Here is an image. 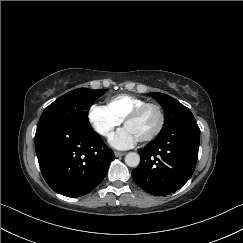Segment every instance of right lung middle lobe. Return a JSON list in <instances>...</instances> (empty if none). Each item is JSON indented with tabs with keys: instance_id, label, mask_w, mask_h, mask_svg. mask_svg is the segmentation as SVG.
I'll return each mask as SVG.
<instances>
[{
	"instance_id": "1",
	"label": "right lung middle lobe",
	"mask_w": 243,
	"mask_h": 243,
	"mask_svg": "<svg viewBox=\"0 0 243 243\" xmlns=\"http://www.w3.org/2000/svg\"><path fill=\"white\" fill-rule=\"evenodd\" d=\"M106 91L78 88L66 93L43 111L37 128L49 123H65L91 129L89 109Z\"/></svg>"
}]
</instances>
